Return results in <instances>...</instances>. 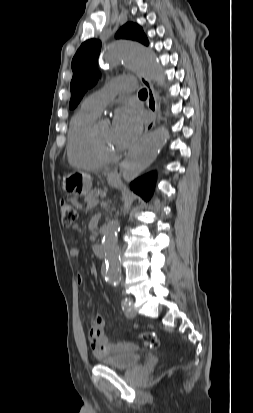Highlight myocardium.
<instances>
[{"mask_svg":"<svg viewBox=\"0 0 253 413\" xmlns=\"http://www.w3.org/2000/svg\"><path fill=\"white\" fill-rule=\"evenodd\" d=\"M101 121H96L90 131V143L95 155L103 162H112L119 157V152L117 150H110L105 148L99 138H98V127Z\"/></svg>","mask_w":253,"mask_h":413,"instance_id":"myocardium-1","label":"myocardium"}]
</instances>
